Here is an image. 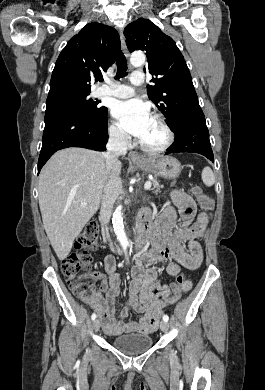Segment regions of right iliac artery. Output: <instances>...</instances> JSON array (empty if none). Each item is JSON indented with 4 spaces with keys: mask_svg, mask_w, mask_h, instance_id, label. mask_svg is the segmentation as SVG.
Segmentation results:
<instances>
[{
    "mask_svg": "<svg viewBox=\"0 0 265 390\" xmlns=\"http://www.w3.org/2000/svg\"><path fill=\"white\" fill-rule=\"evenodd\" d=\"M95 318H96V314L93 313V314L91 315V319H92V320H95Z\"/></svg>",
    "mask_w": 265,
    "mask_h": 390,
    "instance_id": "right-iliac-artery-1",
    "label": "right iliac artery"
}]
</instances>
